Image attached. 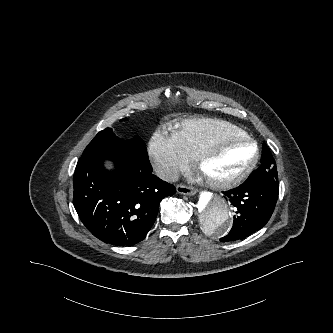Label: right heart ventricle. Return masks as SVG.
<instances>
[{
  "label": "right heart ventricle",
  "mask_w": 333,
  "mask_h": 333,
  "mask_svg": "<svg viewBox=\"0 0 333 333\" xmlns=\"http://www.w3.org/2000/svg\"><path fill=\"white\" fill-rule=\"evenodd\" d=\"M223 134L248 135L234 124L214 118L187 119L171 130L174 141L190 160L206 143Z\"/></svg>",
  "instance_id": "right-heart-ventricle-1"
}]
</instances>
